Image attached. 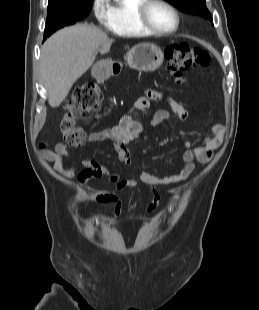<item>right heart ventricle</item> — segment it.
Listing matches in <instances>:
<instances>
[{
  "mask_svg": "<svg viewBox=\"0 0 259 310\" xmlns=\"http://www.w3.org/2000/svg\"><path fill=\"white\" fill-rule=\"evenodd\" d=\"M143 0H112L109 18L105 24L112 33L124 37H144L152 35L138 22L137 9Z\"/></svg>",
  "mask_w": 259,
  "mask_h": 310,
  "instance_id": "e07e8e85",
  "label": "right heart ventricle"
}]
</instances>
